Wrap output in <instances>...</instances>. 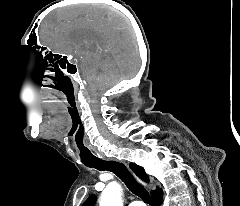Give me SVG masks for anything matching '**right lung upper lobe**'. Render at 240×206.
<instances>
[{
    "label": "right lung upper lobe",
    "instance_id": "cb5924a9",
    "mask_svg": "<svg viewBox=\"0 0 240 206\" xmlns=\"http://www.w3.org/2000/svg\"><path fill=\"white\" fill-rule=\"evenodd\" d=\"M129 166H130V168L135 172V174H136L139 178H141V179H142L143 181H145V182H148V181H149L148 175L145 173L144 169H143L141 166L136 165V164H134V163H130ZM161 192H162V190L157 187V189L151 193V196H154V195L159 194V193H161ZM95 201H96V197H95L94 194H92V195H90V196L88 197V199L84 202L83 206H94Z\"/></svg>",
    "mask_w": 240,
    "mask_h": 206
}]
</instances>
